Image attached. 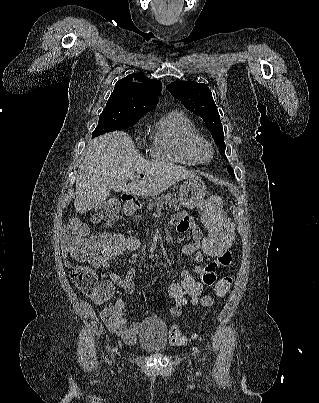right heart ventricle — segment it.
I'll list each match as a JSON object with an SVG mask.
<instances>
[{
    "label": "right heart ventricle",
    "instance_id": "obj_1",
    "mask_svg": "<svg viewBox=\"0 0 319 403\" xmlns=\"http://www.w3.org/2000/svg\"><path fill=\"white\" fill-rule=\"evenodd\" d=\"M198 135L190 117L182 110L162 116L152 128L150 152L157 159L183 165H197L191 151V140Z\"/></svg>",
    "mask_w": 319,
    "mask_h": 403
}]
</instances>
